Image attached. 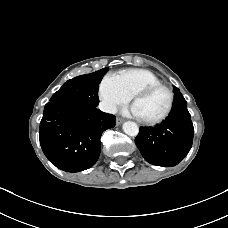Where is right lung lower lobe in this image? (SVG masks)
<instances>
[{
    "instance_id": "98d812e1",
    "label": "right lung lower lobe",
    "mask_w": 228,
    "mask_h": 228,
    "mask_svg": "<svg viewBox=\"0 0 228 228\" xmlns=\"http://www.w3.org/2000/svg\"><path fill=\"white\" fill-rule=\"evenodd\" d=\"M115 116L95 108L47 103L40 122V145L59 169L78 172L92 167L100 155L102 133L115 126Z\"/></svg>"
}]
</instances>
